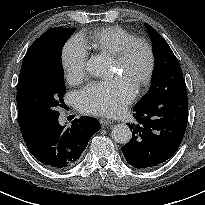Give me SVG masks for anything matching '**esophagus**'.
I'll use <instances>...</instances> for the list:
<instances>
[{"label":"esophagus","mask_w":205,"mask_h":205,"mask_svg":"<svg viewBox=\"0 0 205 205\" xmlns=\"http://www.w3.org/2000/svg\"><path fill=\"white\" fill-rule=\"evenodd\" d=\"M99 123L102 125V127H105L112 124L113 122L105 118H99Z\"/></svg>","instance_id":"obj_1"}]
</instances>
